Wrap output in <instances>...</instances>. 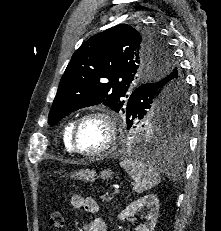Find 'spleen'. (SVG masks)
I'll return each mask as SVG.
<instances>
[{
    "instance_id": "3e777b00",
    "label": "spleen",
    "mask_w": 221,
    "mask_h": 231,
    "mask_svg": "<svg viewBox=\"0 0 221 231\" xmlns=\"http://www.w3.org/2000/svg\"><path fill=\"white\" fill-rule=\"evenodd\" d=\"M120 166L134 180L133 190L137 193L148 191L160 182V176L155 168L142 160L124 158Z\"/></svg>"
}]
</instances>
